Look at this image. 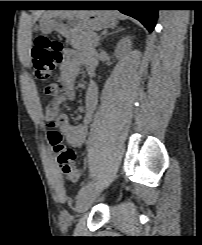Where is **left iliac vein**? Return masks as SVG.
<instances>
[{
  "label": "left iliac vein",
  "instance_id": "4c4485c4",
  "mask_svg": "<svg viewBox=\"0 0 202 245\" xmlns=\"http://www.w3.org/2000/svg\"><path fill=\"white\" fill-rule=\"evenodd\" d=\"M95 199L96 196L93 190H89L88 192L79 195L76 203L77 212L79 213L86 212L92 206Z\"/></svg>",
  "mask_w": 202,
  "mask_h": 245
}]
</instances>
